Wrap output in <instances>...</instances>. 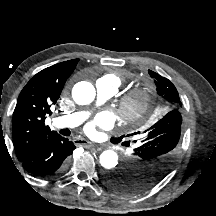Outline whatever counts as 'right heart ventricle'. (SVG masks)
Listing matches in <instances>:
<instances>
[{"mask_svg": "<svg viewBox=\"0 0 216 216\" xmlns=\"http://www.w3.org/2000/svg\"><path fill=\"white\" fill-rule=\"evenodd\" d=\"M104 78L113 80L117 87L121 86L125 81V76L122 71H113L105 74Z\"/></svg>", "mask_w": 216, "mask_h": 216, "instance_id": "obj_1", "label": "right heart ventricle"}]
</instances>
